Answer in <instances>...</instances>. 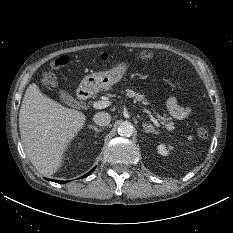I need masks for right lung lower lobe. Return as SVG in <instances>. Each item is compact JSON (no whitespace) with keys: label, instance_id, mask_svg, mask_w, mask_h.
Here are the masks:
<instances>
[{"label":"right lung lower lobe","instance_id":"right-lung-lower-lobe-1","mask_svg":"<svg viewBox=\"0 0 233 233\" xmlns=\"http://www.w3.org/2000/svg\"><path fill=\"white\" fill-rule=\"evenodd\" d=\"M95 168H93L90 172H88L87 174H85L83 177H86V176H88L91 172H93V170H94ZM47 180H50V179H47ZM54 182H57V183H66V182H68V181H58V180H53Z\"/></svg>","mask_w":233,"mask_h":233}]
</instances>
